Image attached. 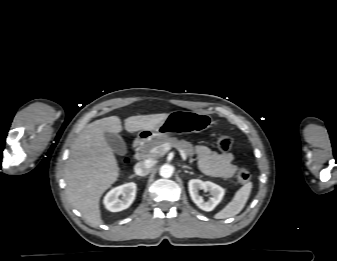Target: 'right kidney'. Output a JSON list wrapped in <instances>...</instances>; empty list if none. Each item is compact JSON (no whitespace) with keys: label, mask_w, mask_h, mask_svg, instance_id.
<instances>
[{"label":"right kidney","mask_w":337,"mask_h":261,"mask_svg":"<svg viewBox=\"0 0 337 261\" xmlns=\"http://www.w3.org/2000/svg\"><path fill=\"white\" fill-rule=\"evenodd\" d=\"M136 189L137 187L134 182L115 187L104 197V205L111 212L122 211L133 203ZM120 196L121 199L119 198Z\"/></svg>","instance_id":"ca27d5eb"}]
</instances>
